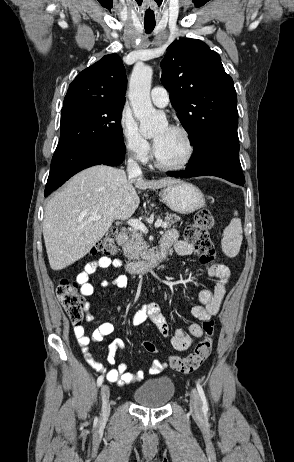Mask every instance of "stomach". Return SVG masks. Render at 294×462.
Wrapping results in <instances>:
<instances>
[{
  "label": "stomach",
  "mask_w": 294,
  "mask_h": 462,
  "mask_svg": "<svg viewBox=\"0 0 294 462\" xmlns=\"http://www.w3.org/2000/svg\"><path fill=\"white\" fill-rule=\"evenodd\" d=\"M159 195L171 210L181 214H189L205 206L201 190L184 181L165 187Z\"/></svg>",
  "instance_id": "stomach-1"
}]
</instances>
